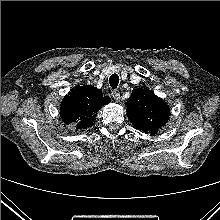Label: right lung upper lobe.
<instances>
[{
    "instance_id": "cb5924a9",
    "label": "right lung upper lobe",
    "mask_w": 220,
    "mask_h": 220,
    "mask_svg": "<svg viewBox=\"0 0 220 220\" xmlns=\"http://www.w3.org/2000/svg\"><path fill=\"white\" fill-rule=\"evenodd\" d=\"M111 99L103 96L102 91L88 86H76L63 98L60 107V116L66 124H77V129L91 127L96 120L100 108Z\"/></svg>"
}]
</instances>
